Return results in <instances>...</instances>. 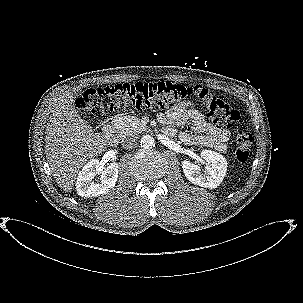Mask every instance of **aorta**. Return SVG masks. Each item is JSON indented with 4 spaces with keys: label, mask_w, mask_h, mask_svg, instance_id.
<instances>
[{
    "label": "aorta",
    "mask_w": 303,
    "mask_h": 303,
    "mask_svg": "<svg viewBox=\"0 0 303 303\" xmlns=\"http://www.w3.org/2000/svg\"><path fill=\"white\" fill-rule=\"evenodd\" d=\"M140 145L144 149H151L152 147L155 146V140H154V138L151 135H144L141 138Z\"/></svg>",
    "instance_id": "762f6f07"
}]
</instances>
